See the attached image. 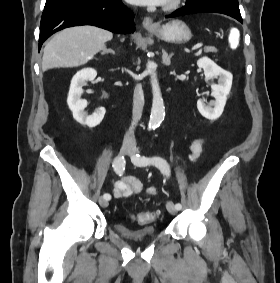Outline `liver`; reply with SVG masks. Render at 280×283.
<instances>
[{"label": "liver", "instance_id": "liver-1", "mask_svg": "<svg viewBox=\"0 0 280 283\" xmlns=\"http://www.w3.org/2000/svg\"><path fill=\"white\" fill-rule=\"evenodd\" d=\"M113 38L110 31L94 26L64 29L46 44L42 59L44 71L57 67H76L87 63Z\"/></svg>", "mask_w": 280, "mask_h": 283}]
</instances>
